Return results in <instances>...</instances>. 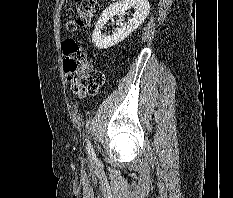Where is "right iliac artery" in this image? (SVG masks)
Wrapping results in <instances>:
<instances>
[{
    "label": "right iliac artery",
    "instance_id": "right-iliac-artery-1",
    "mask_svg": "<svg viewBox=\"0 0 233 198\" xmlns=\"http://www.w3.org/2000/svg\"><path fill=\"white\" fill-rule=\"evenodd\" d=\"M87 150H88V154L90 155L91 159L95 161L96 155H95L94 150L89 142H87Z\"/></svg>",
    "mask_w": 233,
    "mask_h": 198
}]
</instances>
